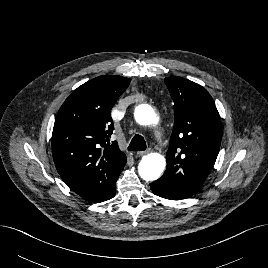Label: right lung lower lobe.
I'll use <instances>...</instances> for the list:
<instances>
[{"mask_svg":"<svg viewBox=\"0 0 268 268\" xmlns=\"http://www.w3.org/2000/svg\"><path fill=\"white\" fill-rule=\"evenodd\" d=\"M116 193V184L114 185V187L111 189V191L109 192V194L102 200V201H106L112 197H114Z\"/></svg>","mask_w":268,"mask_h":268,"instance_id":"right-lung-lower-lobe-1","label":"right lung lower lobe"}]
</instances>
